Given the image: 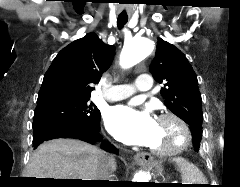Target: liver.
<instances>
[{
	"instance_id": "obj_1",
	"label": "liver",
	"mask_w": 240,
	"mask_h": 187,
	"mask_svg": "<svg viewBox=\"0 0 240 187\" xmlns=\"http://www.w3.org/2000/svg\"><path fill=\"white\" fill-rule=\"evenodd\" d=\"M104 152L75 139H54L41 144L26 168L28 178L99 180ZM110 159V172L116 168Z\"/></svg>"
}]
</instances>
